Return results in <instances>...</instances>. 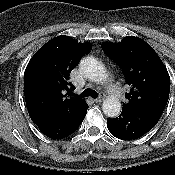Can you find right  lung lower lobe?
Segmentation results:
<instances>
[{
	"label": "right lung lower lobe",
	"instance_id": "right-lung-lower-lobe-1",
	"mask_svg": "<svg viewBox=\"0 0 175 175\" xmlns=\"http://www.w3.org/2000/svg\"><path fill=\"white\" fill-rule=\"evenodd\" d=\"M87 108L75 115L56 114L36 123L39 130L51 139H62L73 134L84 120Z\"/></svg>",
	"mask_w": 175,
	"mask_h": 175
}]
</instances>
